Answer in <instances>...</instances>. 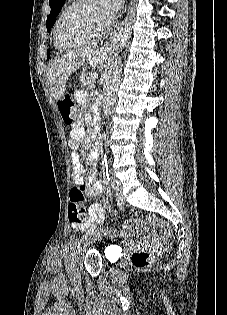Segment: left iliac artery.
Segmentation results:
<instances>
[{
    "label": "left iliac artery",
    "mask_w": 227,
    "mask_h": 315,
    "mask_svg": "<svg viewBox=\"0 0 227 315\" xmlns=\"http://www.w3.org/2000/svg\"><path fill=\"white\" fill-rule=\"evenodd\" d=\"M110 185L113 188L114 180L111 181ZM95 228H96V225H93L92 227H90V229H88V231L83 236V239H86L88 236L92 235L94 233V231H95Z\"/></svg>",
    "instance_id": "left-iliac-artery-1"
}]
</instances>
